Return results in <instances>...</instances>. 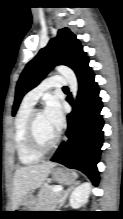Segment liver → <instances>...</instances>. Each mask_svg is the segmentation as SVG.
I'll list each match as a JSON object with an SVG mask.
<instances>
[{"label": "liver", "instance_id": "1", "mask_svg": "<svg viewBox=\"0 0 123 219\" xmlns=\"http://www.w3.org/2000/svg\"><path fill=\"white\" fill-rule=\"evenodd\" d=\"M55 166L56 164L53 162H45L23 166L15 171L12 188V211H15L22 204L31 191L43 185L51 169Z\"/></svg>", "mask_w": 123, "mask_h": 219}]
</instances>
